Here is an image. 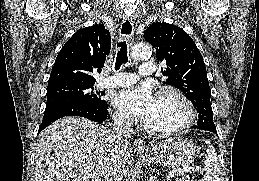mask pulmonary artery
<instances>
[{
    "label": "pulmonary artery",
    "mask_w": 259,
    "mask_h": 181,
    "mask_svg": "<svg viewBox=\"0 0 259 181\" xmlns=\"http://www.w3.org/2000/svg\"><path fill=\"white\" fill-rule=\"evenodd\" d=\"M140 73L143 76H153L155 74V66L151 62H143L140 68ZM136 77L131 72L117 71L112 76L102 79L99 82L100 87H121L131 85L136 82Z\"/></svg>",
    "instance_id": "e3ab8cb5"
}]
</instances>
